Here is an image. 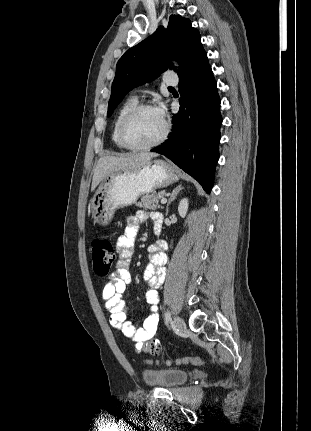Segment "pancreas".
I'll use <instances>...</instances> for the list:
<instances>
[{
  "mask_svg": "<svg viewBox=\"0 0 311 431\" xmlns=\"http://www.w3.org/2000/svg\"><path fill=\"white\" fill-rule=\"evenodd\" d=\"M166 192H154L151 196H141L139 202L135 204L138 208H143V210H158L161 208L159 206V200L165 196Z\"/></svg>",
  "mask_w": 311,
  "mask_h": 431,
  "instance_id": "obj_1",
  "label": "pancreas"
}]
</instances>
